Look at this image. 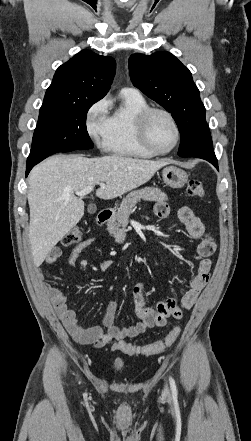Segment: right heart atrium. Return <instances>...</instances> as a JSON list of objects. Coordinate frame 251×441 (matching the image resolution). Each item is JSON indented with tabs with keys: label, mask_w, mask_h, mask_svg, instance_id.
<instances>
[{
	"label": "right heart atrium",
	"mask_w": 251,
	"mask_h": 441,
	"mask_svg": "<svg viewBox=\"0 0 251 441\" xmlns=\"http://www.w3.org/2000/svg\"><path fill=\"white\" fill-rule=\"evenodd\" d=\"M108 100L102 98L90 106L86 113L85 127L90 138L104 148L105 136L108 129Z\"/></svg>",
	"instance_id": "d8ad5b80"
}]
</instances>
